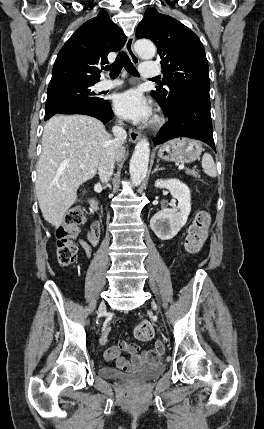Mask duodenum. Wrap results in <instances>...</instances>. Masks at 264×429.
I'll list each match as a JSON object with an SVG mask.
<instances>
[{
  "mask_svg": "<svg viewBox=\"0 0 264 429\" xmlns=\"http://www.w3.org/2000/svg\"><path fill=\"white\" fill-rule=\"evenodd\" d=\"M89 204H90V207H91L93 210H95V211H98V210H99V203H98V201L96 200V198H94L93 196H90V197H89Z\"/></svg>",
  "mask_w": 264,
  "mask_h": 429,
  "instance_id": "410a0bca",
  "label": "duodenum"
}]
</instances>
